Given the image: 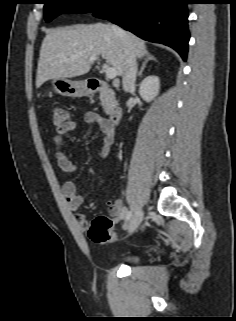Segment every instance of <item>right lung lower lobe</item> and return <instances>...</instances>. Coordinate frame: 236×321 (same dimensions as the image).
<instances>
[{
	"mask_svg": "<svg viewBox=\"0 0 236 321\" xmlns=\"http://www.w3.org/2000/svg\"><path fill=\"white\" fill-rule=\"evenodd\" d=\"M188 0H110L94 12L142 39L175 49L185 61L188 50Z\"/></svg>",
	"mask_w": 236,
	"mask_h": 321,
	"instance_id": "right-lung-lower-lobe-1",
	"label": "right lung lower lobe"
}]
</instances>
